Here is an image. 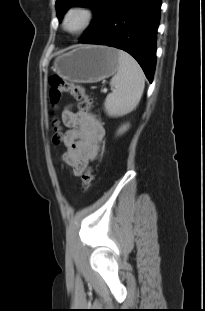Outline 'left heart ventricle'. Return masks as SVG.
Listing matches in <instances>:
<instances>
[{"mask_svg":"<svg viewBox=\"0 0 205 311\" xmlns=\"http://www.w3.org/2000/svg\"><path fill=\"white\" fill-rule=\"evenodd\" d=\"M83 23V16L81 13H74L70 16L68 21V29L75 30L79 28Z\"/></svg>","mask_w":205,"mask_h":311,"instance_id":"b2bd125f","label":"left heart ventricle"}]
</instances>
